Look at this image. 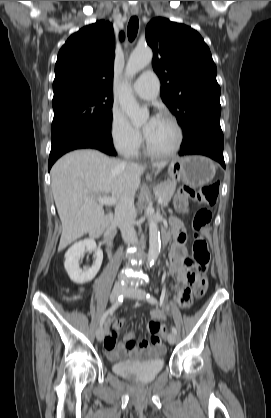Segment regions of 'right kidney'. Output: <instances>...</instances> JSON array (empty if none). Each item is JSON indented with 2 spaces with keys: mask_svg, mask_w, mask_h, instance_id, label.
<instances>
[{
  "mask_svg": "<svg viewBox=\"0 0 271 418\" xmlns=\"http://www.w3.org/2000/svg\"><path fill=\"white\" fill-rule=\"evenodd\" d=\"M86 251L94 252L95 262L89 268H80L79 261ZM103 260V252L93 239L74 243L65 254L64 267L70 279L77 284L90 282L97 275Z\"/></svg>",
  "mask_w": 271,
  "mask_h": 418,
  "instance_id": "obj_1",
  "label": "right kidney"
}]
</instances>
